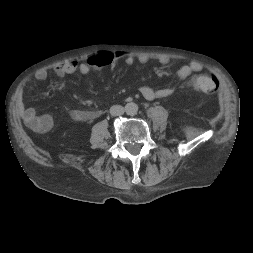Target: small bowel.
Listing matches in <instances>:
<instances>
[{"label": "small bowel", "mask_w": 253, "mask_h": 253, "mask_svg": "<svg viewBox=\"0 0 253 253\" xmlns=\"http://www.w3.org/2000/svg\"><path fill=\"white\" fill-rule=\"evenodd\" d=\"M120 59L127 65H133L135 58L131 55H121L118 53L102 52L92 55L84 62L68 61L60 63L55 66L54 72L58 77H65L67 75L79 72L81 74H88L91 71L100 70L106 66H112ZM149 61V57L146 55H140L138 62L145 64ZM159 62L163 65L169 63V58L162 57ZM202 69L199 62L193 61L178 68L173 76L178 79H185L190 77L193 73ZM47 77L46 70H40L36 73V78L44 80ZM140 92L147 100H154L156 98H165L172 95L175 89L172 87L155 89L149 85H144L140 88ZM102 112L98 109L94 110H82L73 109L69 112V116L72 120L77 122H89L93 121L101 116ZM25 124L33 131L44 133L52 129L54 121L50 114H39L36 109L28 107L23 110L21 114Z\"/></svg>", "instance_id": "1"}]
</instances>
